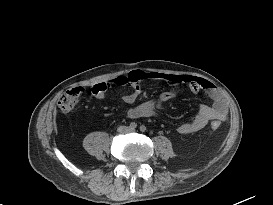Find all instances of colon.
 Segmentation results:
<instances>
[{"instance_id":"colon-1","label":"colon","mask_w":273,"mask_h":205,"mask_svg":"<svg viewBox=\"0 0 273 205\" xmlns=\"http://www.w3.org/2000/svg\"><path fill=\"white\" fill-rule=\"evenodd\" d=\"M83 95V90L80 88H73L64 91L58 99V107L63 113H71L77 106L80 97ZM212 130H218L220 123L213 121L211 123Z\"/></svg>"}]
</instances>
